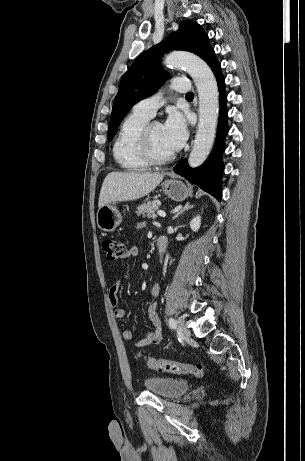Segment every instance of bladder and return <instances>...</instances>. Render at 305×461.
Masks as SVG:
<instances>
[{
    "mask_svg": "<svg viewBox=\"0 0 305 461\" xmlns=\"http://www.w3.org/2000/svg\"><path fill=\"white\" fill-rule=\"evenodd\" d=\"M143 384L151 393L166 399L177 398L185 394L190 387L186 380L161 376H150L143 381Z\"/></svg>",
    "mask_w": 305,
    "mask_h": 461,
    "instance_id": "31cf9c89",
    "label": "bladder"
}]
</instances>
